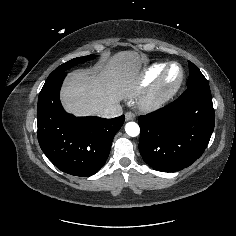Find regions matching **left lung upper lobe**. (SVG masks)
Returning a JSON list of instances; mask_svg holds the SVG:
<instances>
[{"label":"left lung upper lobe","instance_id":"5c2ea615","mask_svg":"<svg viewBox=\"0 0 236 236\" xmlns=\"http://www.w3.org/2000/svg\"><path fill=\"white\" fill-rule=\"evenodd\" d=\"M189 73L190 76L187 81V88L198 86V85H208V81L203 76L201 71L196 65L189 61Z\"/></svg>","mask_w":236,"mask_h":236}]
</instances>
